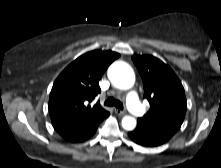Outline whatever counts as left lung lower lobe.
Returning <instances> with one entry per match:
<instances>
[{
  "label": "left lung lower lobe",
  "mask_w": 221,
  "mask_h": 168,
  "mask_svg": "<svg viewBox=\"0 0 221 168\" xmlns=\"http://www.w3.org/2000/svg\"><path fill=\"white\" fill-rule=\"evenodd\" d=\"M129 137L137 144L145 147H156L167 142L172 136L167 133L149 127L140 122L132 132L128 133Z\"/></svg>",
  "instance_id": "left-lung-lower-lobe-1"
}]
</instances>
